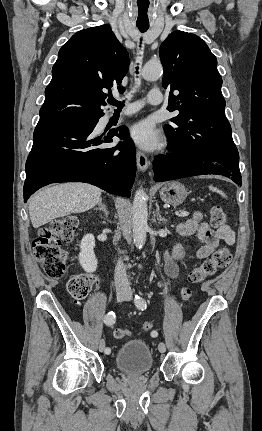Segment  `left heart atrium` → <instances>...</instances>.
<instances>
[{
  "label": "left heart atrium",
  "mask_w": 262,
  "mask_h": 431,
  "mask_svg": "<svg viewBox=\"0 0 262 431\" xmlns=\"http://www.w3.org/2000/svg\"><path fill=\"white\" fill-rule=\"evenodd\" d=\"M130 138L145 150L156 148L161 141L159 132L149 120L134 124L130 130Z\"/></svg>",
  "instance_id": "obj_1"
}]
</instances>
